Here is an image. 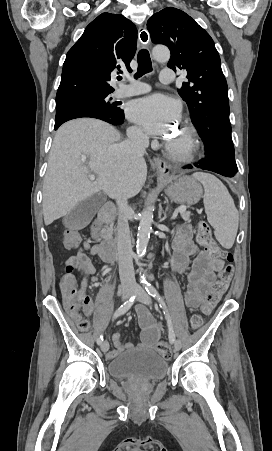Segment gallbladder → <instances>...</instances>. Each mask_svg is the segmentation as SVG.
<instances>
[{"label": "gallbladder", "mask_w": 272, "mask_h": 451, "mask_svg": "<svg viewBox=\"0 0 272 451\" xmlns=\"http://www.w3.org/2000/svg\"><path fill=\"white\" fill-rule=\"evenodd\" d=\"M102 202H97L94 196L86 198L83 202H79L71 212L66 214L63 224L70 229H82V227L90 224L92 218L97 214Z\"/></svg>", "instance_id": "obj_1"}]
</instances>
